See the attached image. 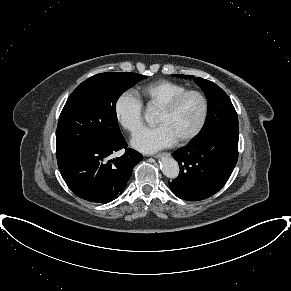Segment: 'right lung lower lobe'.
Here are the masks:
<instances>
[{
	"label": "right lung lower lobe",
	"instance_id": "right-lung-lower-lobe-1",
	"mask_svg": "<svg viewBox=\"0 0 291 291\" xmlns=\"http://www.w3.org/2000/svg\"><path fill=\"white\" fill-rule=\"evenodd\" d=\"M121 149H125L121 157L109 160ZM142 159L140 153L127 148L121 136L106 144L76 149L58 160V166L75 195L90 202L108 203L122 194L133 167Z\"/></svg>",
	"mask_w": 291,
	"mask_h": 291
}]
</instances>
